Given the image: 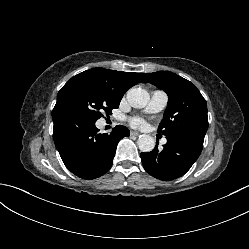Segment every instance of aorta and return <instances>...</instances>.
<instances>
[{
  "mask_svg": "<svg viewBox=\"0 0 249 249\" xmlns=\"http://www.w3.org/2000/svg\"><path fill=\"white\" fill-rule=\"evenodd\" d=\"M127 101L134 108L145 107L149 101V93L142 88H131L127 92ZM137 144L142 152H150L154 149L155 140L150 135H140Z\"/></svg>",
  "mask_w": 249,
  "mask_h": 249,
  "instance_id": "obj_1",
  "label": "aorta"
}]
</instances>
